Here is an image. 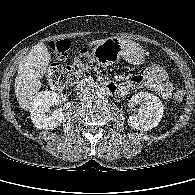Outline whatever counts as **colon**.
<instances>
[{"instance_id":"obj_1","label":"colon","mask_w":195,"mask_h":195,"mask_svg":"<svg viewBox=\"0 0 195 195\" xmlns=\"http://www.w3.org/2000/svg\"><path fill=\"white\" fill-rule=\"evenodd\" d=\"M50 49L54 52L58 59H65L70 49V42L68 40H60L50 43ZM90 67V55L88 51H83L78 56L76 61L71 65L53 64L47 71V79L49 84L57 89H62L70 86L76 82L82 73ZM154 77L161 81L168 80V75L165 69L158 65L152 64L148 68ZM173 100L181 102L184 98L183 90H176L173 92Z\"/></svg>"}]
</instances>
